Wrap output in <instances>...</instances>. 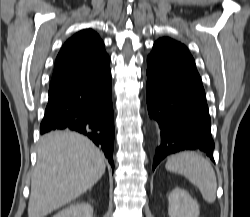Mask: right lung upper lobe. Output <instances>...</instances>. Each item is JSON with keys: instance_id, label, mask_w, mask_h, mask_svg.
<instances>
[{"instance_id": "obj_1", "label": "right lung upper lobe", "mask_w": 250, "mask_h": 217, "mask_svg": "<svg viewBox=\"0 0 250 217\" xmlns=\"http://www.w3.org/2000/svg\"><path fill=\"white\" fill-rule=\"evenodd\" d=\"M108 57L96 32L86 29L76 33L66 41L56 58L50 88L90 72Z\"/></svg>"}]
</instances>
